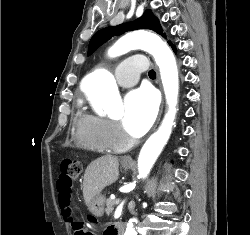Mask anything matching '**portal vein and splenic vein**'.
<instances>
[{"label": "portal vein and splenic vein", "mask_w": 250, "mask_h": 235, "mask_svg": "<svg viewBox=\"0 0 250 235\" xmlns=\"http://www.w3.org/2000/svg\"><path fill=\"white\" fill-rule=\"evenodd\" d=\"M115 203L118 205L120 203V199H116Z\"/></svg>", "instance_id": "obj_1"}]
</instances>
